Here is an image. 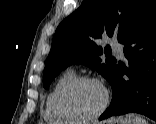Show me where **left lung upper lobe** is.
<instances>
[{"mask_svg": "<svg viewBox=\"0 0 156 124\" xmlns=\"http://www.w3.org/2000/svg\"><path fill=\"white\" fill-rule=\"evenodd\" d=\"M153 0H84L64 19L52 40L43 73V86L67 66L82 63L97 70L109 82L117 67L114 57L105 62L99 58L103 50L96 44L102 36H117L123 43L141 21ZM106 49L104 53L106 56Z\"/></svg>", "mask_w": 156, "mask_h": 124, "instance_id": "left-lung-upper-lobe-1", "label": "left lung upper lobe"}]
</instances>
